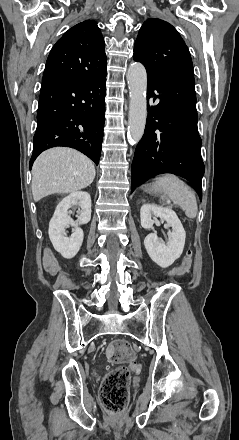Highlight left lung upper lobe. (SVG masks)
Returning a JSON list of instances; mask_svg holds the SVG:
<instances>
[{
    "mask_svg": "<svg viewBox=\"0 0 239 440\" xmlns=\"http://www.w3.org/2000/svg\"><path fill=\"white\" fill-rule=\"evenodd\" d=\"M133 59L141 62L148 74L194 76L191 55L182 37L171 24L158 18L146 20L140 28Z\"/></svg>",
    "mask_w": 239,
    "mask_h": 440,
    "instance_id": "left-lung-upper-lobe-1",
    "label": "left lung upper lobe"
}]
</instances>
